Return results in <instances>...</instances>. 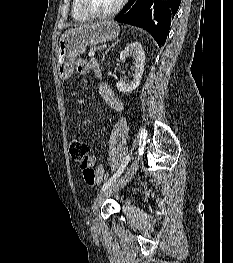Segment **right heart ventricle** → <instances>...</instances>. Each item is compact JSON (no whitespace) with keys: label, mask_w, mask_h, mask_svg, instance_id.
<instances>
[{"label":"right heart ventricle","mask_w":233,"mask_h":263,"mask_svg":"<svg viewBox=\"0 0 233 263\" xmlns=\"http://www.w3.org/2000/svg\"><path fill=\"white\" fill-rule=\"evenodd\" d=\"M72 16L76 21H86L89 19L81 10L79 0H73L72 2Z\"/></svg>","instance_id":"right-heart-ventricle-1"}]
</instances>
